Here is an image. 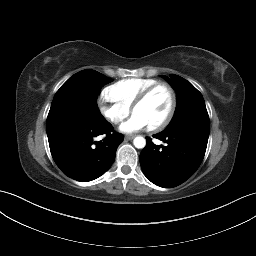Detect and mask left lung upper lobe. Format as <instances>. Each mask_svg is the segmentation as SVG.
<instances>
[{"label": "left lung upper lobe", "mask_w": 256, "mask_h": 256, "mask_svg": "<svg viewBox=\"0 0 256 256\" xmlns=\"http://www.w3.org/2000/svg\"><path fill=\"white\" fill-rule=\"evenodd\" d=\"M164 78L176 89L177 105L170 124L162 132H172L183 127L209 132V116L201 93L178 75L171 74L170 79Z\"/></svg>", "instance_id": "obj_1"}]
</instances>
